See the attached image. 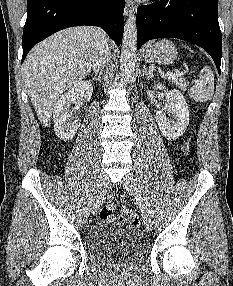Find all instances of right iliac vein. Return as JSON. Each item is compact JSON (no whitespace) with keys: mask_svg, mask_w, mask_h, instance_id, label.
I'll list each match as a JSON object with an SVG mask.
<instances>
[{"mask_svg":"<svg viewBox=\"0 0 233 286\" xmlns=\"http://www.w3.org/2000/svg\"><path fill=\"white\" fill-rule=\"evenodd\" d=\"M108 186V177L105 173H100L98 177L97 188L95 191L94 211H96L104 198Z\"/></svg>","mask_w":233,"mask_h":286,"instance_id":"obj_1","label":"right iliac vein"}]
</instances>
